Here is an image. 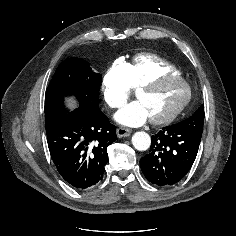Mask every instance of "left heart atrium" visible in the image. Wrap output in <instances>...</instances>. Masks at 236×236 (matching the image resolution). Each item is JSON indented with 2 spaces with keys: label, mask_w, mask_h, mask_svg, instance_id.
I'll use <instances>...</instances> for the list:
<instances>
[{
  "label": "left heart atrium",
  "mask_w": 236,
  "mask_h": 236,
  "mask_svg": "<svg viewBox=\"0 0 236 236\" xmlns=\"http://www.w3.org/2000/svg\"><path fill=\"white\" fill-rule=\"evenodd\" d=\"M149 118V113L140 100L127 104L115 115L119 123L127 126H140Z\"/></svg>",
  "instance_id": "left-heart-atrium-1"
}]
</instances>
